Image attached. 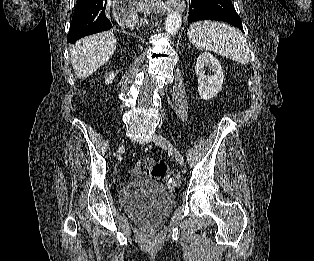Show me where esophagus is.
<instances>
[{
	"instance_id": "esophagus-1",
	"label": "esophagus",
	"mask_w": 314,
	"mask_h": 261,
	"mask_svg": "<svg viewBox=\"0 0 314 261\" xmlns=\"http://www.w3.org/2000/svg\"><path fill=\"white\" fill-rule=\"evenodd\" d=\"M172 7L176 8L177 10L184 11L185 4L182 0H166L165 3L162 2V4L160 3V5H157V9L163 12L171 11Z\"/></svg>"
}]
</instances>
